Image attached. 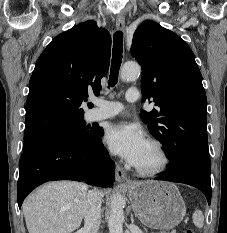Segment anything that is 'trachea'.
Instances as JSON below:
<instances>
[{"mask_svg": "<svg viewBox=\"0 0 227 233\" xmlns=\"http://www.w3.org/2000/svg\"><path fill=\"white\" fill-rule=\"evenodd\" d=\"M122 52L123 33L121 31H117L113 37V52L111 60L110 77L108 81L110 87L115 86L118 81V73L122 63Z\"/></svg>", "mask_w": 227, "mask_h": 233, "instance_id": "trachea-1", "label": "trachea"}]
</instances>
